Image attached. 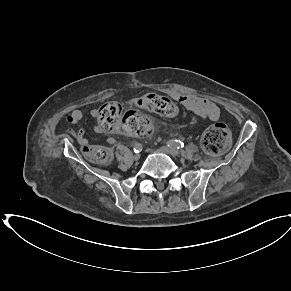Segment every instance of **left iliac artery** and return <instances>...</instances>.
Listing matches in <instances>:
<instances>
[{
  "mask_svg": "<svg viewBox=\"0 0 291 291\" xmlns=\"http://www.w3.org/2000/svg\"><path fill=\"white\" fill-rule=\"evenodd\" d=\"M167 146L171 147V148H177V149H181L185 147V144L183 141L181 140H169L167 142Z\"/></svg>",
  "mask_w": 291,
  "mask_h": 291,
  "instance_id": "44dca946",
  "label": "left iliac artery"
}]
</instances>
